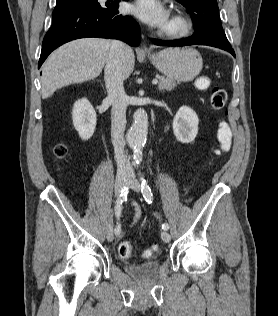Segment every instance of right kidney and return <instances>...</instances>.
I'll use <instances>...</instances> for the list:
<instances>
[{
	"mask_svg": "<svg viewBox=\"0 0 278 316\" xmlns=\"http://www.w3.org/2000/svg\"><path fill=\"white\" fill-rule=\"evenodd\" d=\"M73 125L82 140H88L96 127V112L91 103L83 98L75 102L72 112Z\"/></svg>",
	"mask_w": 278,
	"mask_h": 316,
	"instance_id": "1",
	"label": "right kidney"
}]
</instances>
